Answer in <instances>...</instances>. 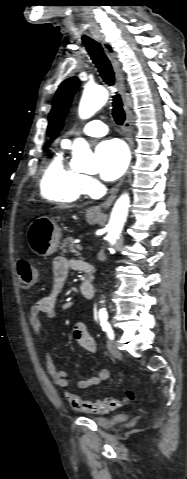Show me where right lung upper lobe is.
<instances>
[{"label": "right lung upper lobe", "instance_id": "right-lung-upper-lobe-1", "mask_svg": "<svg viewBox=\"0 0 187 479\" xmlns=\"http://www.w3.org/2000/svg\"><path fill=\"white\" fill-rule=\"evenodd\" d=\"M61 128H62V125L60 126V128H59V129H61ZM56 135H57V133H55V135L53 136V138H52V139H54Z\"/></svg>", "mask_w": 187, "mask_h": 479}]
</instances>
